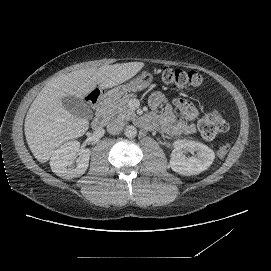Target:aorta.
I'll use <instances>...</instances> for the list:
<instances>
[{"mask_svg":"<svg viewBox=\"0 0 271 271\" xmlns=\"http://www.w3.org/2000/svg\"><path fill=\"white\" fill-rule=\"evenodd\" d=\"M124 134L128 138H134L137 135V129L135 126L128 125L124 130Z\"/></svg>","mask_w":271,"mask_h":271,"instance_id":"1","label":"aorta"}]
</instances>
